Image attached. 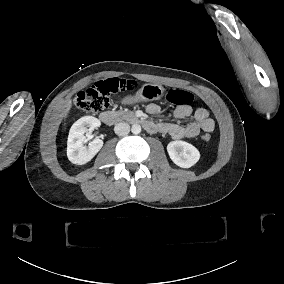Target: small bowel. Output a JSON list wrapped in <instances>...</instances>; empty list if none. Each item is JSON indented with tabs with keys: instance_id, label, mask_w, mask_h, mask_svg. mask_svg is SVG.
Listing matches in <instances>:
<instances>
[{
	"instance_id": "small-bowel-1",
	"label": "small bowel",
	"mask_w": 284,
	"mask_h": 284,
	"mask_svg": "<svg viewBox=\"0 0 284 284\" xmlns=\"http://www.w3.org/2000/svg\"><path fill=\"white\" fill-rule=\"evenodd\" d=\"M146 110L149 114L156 115L161 113L162 108L160 105L152 103L147 106ZM191 115H193V122L186 125L177 123L178 120L185 119ZM214 128L215 122L210 117L206 108L199 107L193 111L188 105H179L173 110L170 120L160 123L148 121V125L145 129L151 133H166L173 139L178 140L183 138H195L201 132H212Z\"/></svg>"
}]
</instances>
